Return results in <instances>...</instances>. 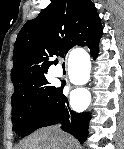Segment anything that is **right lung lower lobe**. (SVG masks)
I'll return each mask as SVG.
<instances>
[{
	"instance_id": "1",
	"label": "right lung lower lobe",
	"mask_w": 124,
	"mask_h": 149,
	"mask_svg": "<svg viewBox=\"0 0 124 149\" xmlns=\"http://www.w3.org/2000/svg\"><path fill=\"white\" fill-rule=\"evenodd\" d=\"M90 52L95 59L98 55V43L90 48ZM90 118L89 112L77 113L70 109L68 99L63 94L62 86L56 90L46 107L37 111L29 119L22 136L25 137L42 127L62 123L63 131L72 134L80 143H84L88 136Z\"/></svg>"
}]
</instances>
